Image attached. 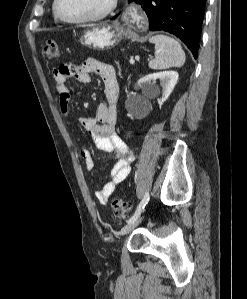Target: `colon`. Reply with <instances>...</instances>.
<instances>
[{
	"label": "colon",
	"mask_w": 247,
	"mask_h": 299,
	"mask_svg": "<svg viewBox=\"0 0 247 299\" xmlns=\"http://www.w3.org/2000/svg\"><path fill=\"white\" fill-rule=\"evenodd\" d=\"M44 54L48 59L59 57V47L55 40H47L44 44ZM112 210L116 217L123 218L131 208V203L122 198H115L111 203Z\"/></svg>",
	"instance_id": "1"
}]
</instances>
